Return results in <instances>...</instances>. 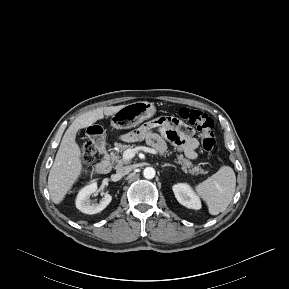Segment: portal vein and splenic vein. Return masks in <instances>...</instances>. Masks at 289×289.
<instances>
[{
    "label": "portal vein and splenic vein",
    "mask_w": 289,
    "mask_h": 289,
    "mask_svg": "<svg viewBox=\"0 0 289 289\" xmlns=\"http://www.w3.org/2000/svg\"><path fill=\"white\" fill-rule=\"evenodd\" d=\"M139 151H144V152L151 153V154H156L157 153V151L152 149V148H149V147H146V146H138V147H135L134 149H127L126 151H124L123 158L126 159V160H130Z\"/></svg>",
    "instance_id": "obj_1"
}]
</instances>
